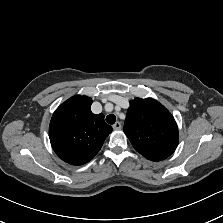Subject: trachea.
<instances>
[{"label": "trachea", "instance_id": "trachea-1", "mask_svg": "<svg viewBox=\"0 0 223 223\" xmlns=\"http://www.w3.org/2000/svg\"><path fill=\"white\" fill-rule=\"evenodd\" d=\"M106 122L108 124H114L116 122V116L114 114H109L107 117H106Z\"/></svg>", "mask_w": 223, "mask_h": 223}]
</instances>
